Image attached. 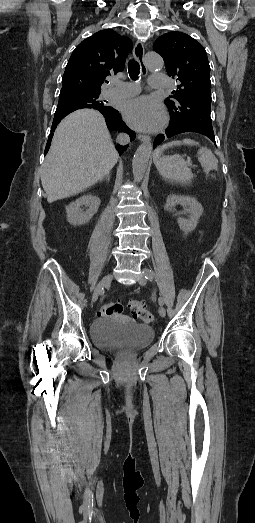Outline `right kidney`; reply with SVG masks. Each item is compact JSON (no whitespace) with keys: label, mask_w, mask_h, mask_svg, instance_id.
I'll return each mask as SVG.
<instances>
[{"label":"right kidney","mask_w":255,"mask_h":523,"mask_svg":"<svg viewBox=\"0 0 255 523\" xmlns=\"http://www.w3.org/2000/svg\"><path fill=\"white\" fill-rule=\"evenodd\" d=\"M100 204L101 202L97 196H92V194L81 196L76 202H72V204L66 206L69 224H72V226L86 224V222H89V220L93 218L94 214H97ZM81 206H88L89 210L82 212V210H80Z\"/></svg>","instance_id":"obj_1"}]
</instances>
